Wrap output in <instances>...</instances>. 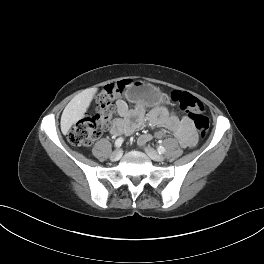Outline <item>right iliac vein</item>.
Returning a JSON list of instances; mask_svg holds the SVG:
<instances>
[{
    "mask_svg": "<svg viewBox=\"0 0 264 264\" xmlns=\"http://www.w3.org/2000/svg\"><path fill=\"white\" fill-rule=\"evenodd\" d=\"M121 156H122V150L117 149L110 155V159L113 161H117L121 158Z\"/></svg>",
    "mask_w": 264,
    "mask_h": 264,
    "instance_id": "1",
    "label": "right iliac vein"
}]
</instances>
